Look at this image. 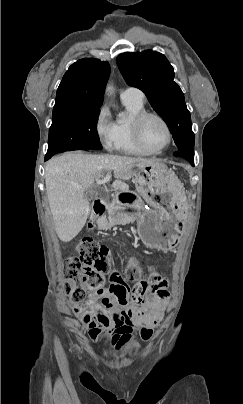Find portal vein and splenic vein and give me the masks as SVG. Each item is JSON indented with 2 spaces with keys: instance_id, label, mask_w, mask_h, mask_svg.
<instances>
[{
  "instance_id": "1",
  "label": "portal vein and splenic vein",
  "mask_w": 243,
  "mask_h": 404,
  "mask_svg": "<svg viewBox=\"0 0 243 404\" xmlns=\"http://www.w3.org/2000/svg\"><path fill=\"white\" fill-rule=\"evenodd\" d=\"M109 180H110V174H108V176H106V178H104V180H97L96 184H106V182H109ZM124 212L125 211L121 212L122 216H125Z\"/></svg>"
}]
</instances>
